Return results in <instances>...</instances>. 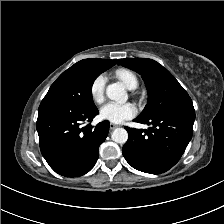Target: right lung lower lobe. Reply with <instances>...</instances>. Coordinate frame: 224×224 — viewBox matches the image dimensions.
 I'll return each mask as SVG.
<instances>
[{
  "mask_svg": "<svg viewBox=\"0 0 224 224\" xmlns=\"http://www.w3.org/2000/svg\"><path fill=\"white\" fill-rule=\"evenodd\" d=\"M95 109H79L53 98H44L39 106L37 131L43 157L58 174L66 177L82 176L90 171L99 156V146L105 141L109 122L95 127L90 124Z\"/></svg>",
  "mask_w": 224,
  "mask_h": 224,
  "instance_id": "1",
  "label": "right lung lower lobe"
}]
</instances>
